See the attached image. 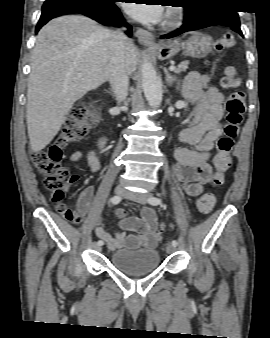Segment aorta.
I'll use <instances>...</instances> for the list:
<instances>
[{
    "label": "aorta",
    "instance_id": "obj_1",
    "mask_svg": "<svg viewBox=\"0 0 270 338\" xmlns=\"http://www.w3.org/2000/svg\"><path fill=\"white\" fill-rule=\"evenodd\" d=\"M141 81L147 101L150 105L158 107L162 102V85L148 58H145L142 65Z\"/></svg>",
    "mask_w": 270,
    "mask_h": 338
}]
</instances>
